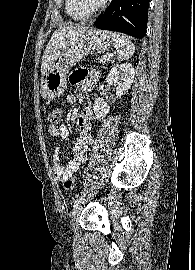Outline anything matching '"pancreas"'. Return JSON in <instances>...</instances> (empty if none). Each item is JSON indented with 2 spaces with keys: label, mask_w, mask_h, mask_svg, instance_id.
<instances>
[{
  "label": "pancreas",
  "mask_w": 195,
  "mask_h": 270,
  "mask_svg": "<svg viewBox=\"0 0 195 270\" xmlns=\"http://www.w3.org/2000/svg\"><path fill=\"white\" fill-rule=\"evenodd\" d=\"M99 62L102 63L103 65L108 63V62H111V57H108V55H103L102 57H100L99 59Z\"/></svg>",
  "instance_id": "pancreas-1"
}]
</instances>
